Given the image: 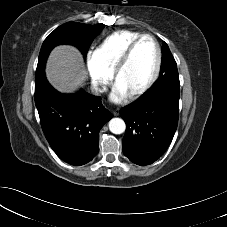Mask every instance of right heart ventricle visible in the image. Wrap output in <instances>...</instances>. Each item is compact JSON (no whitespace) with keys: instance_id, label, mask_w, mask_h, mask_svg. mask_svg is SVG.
Masks as SVG:
<instances>
[{"instance_id":"right-heart-ventricle-1","label":"right heart ventricle","mask_w":227,"mask_h":227,"mask_svg":"<svg viewBox=\"0 0 227 227\" xmlns=\"http://www.w3.org/2000/svg\"><path fill=\"white\" fill-rule=\"evenodd\" d=\"M141 33L133 30H119L109 34L96 47L94 54L102 66L113 73V70L129 44Z\"/></svg>"}]
</instances>
